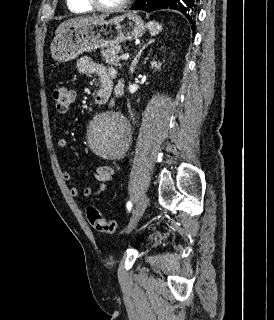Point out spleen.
<instances>
[{
  "label": "spleen",
  "mask_w": 274,
  "mask_h": 320,
  "mask_svg": "<svg viewBox=\"0 0 274 320\" xmlns=\"http://www.w3.org/2000/svg\"><path fill=\"white\" fill-rule=\"evenodd\" d=\"M147 28L150 32V36H157L161 30V26L158 22H148Z\"/></svg>",
  "instance_id": "spleen-1"
}]
</instances>
